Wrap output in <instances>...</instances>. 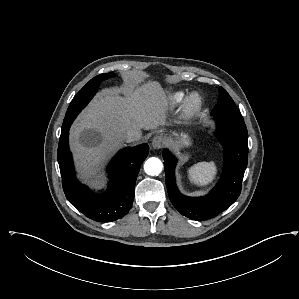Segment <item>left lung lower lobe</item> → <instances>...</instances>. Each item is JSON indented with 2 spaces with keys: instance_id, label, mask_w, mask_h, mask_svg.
Segmentation results:
<instances>
[{
  "instance_id": "1",
  "label": "left lung lower lobe",
  "mask_w": 299,
  "mask_h": 299,
  "mask_svg": "<svg viewBox=\"0 0 299 299\" xmlns=\"http://www.w3.org/2000/svg\"><path fill=\"white\" fill-rule=\"evenodd\" d=\"M217 123V135L225 147L224 169L215 188L204 197H186L176 186V159L163 151L165 180L168 195L175 208L184 216L204 221L229 208L241 192V184L248 162V133L243 119L229 115H212Z\"/></svg>"
}]
</instances>
